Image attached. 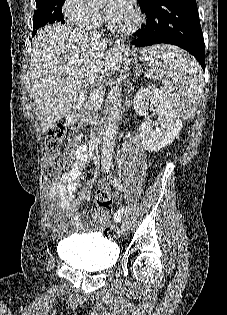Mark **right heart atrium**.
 <instances>
[{"label":"right heart atrium","instance_id":"d8ad5b80","mask_svg":"<svg viewBox=\"0 0 227 315\" xmlns=\"http://www.w3.org/2000/svg\"><path fill=\"white\" fill-rule=\"evenodd\" d=\"M62 13L70 24L83 29L95 28L101 21L100 12L88 0H64Z\"/></svg>","mask_w":227,"mask_h":315}]
</instances>
